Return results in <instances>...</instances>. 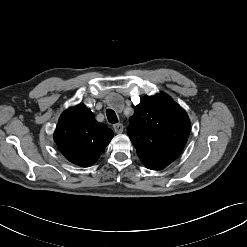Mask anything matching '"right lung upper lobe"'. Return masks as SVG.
<instances>
[{
  "label": "right lung upper lobe",
  "instance_id": "cb5924a9",
  "mask_svg": "<svg viewBox=\"0 0 247 247\" xmlns=\"http://www.w3.org/2000/svg\"><path fill=\"white\" fill-rule=\"evenodd\" d=\"M112 137V130L97 122L93 112L83 104L66 110L54 133L61 153L81 167L93 165Z\"/></svg>",
  "mask_w": 247,
  "mask_h": 247
}]
</instances>
